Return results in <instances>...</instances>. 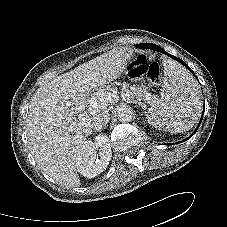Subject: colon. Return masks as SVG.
<instances>
[{"label": "colon", "instance_id": "5ec220e1", "mask_svg": "<svg viewBox=\"0 0 227 227\" xmlns=\"http://www.w3.org/2000/svg\"><path fill=\"white\" fill-rule=\"evenodd\" d=\"M128 75L133 79H147L152 85L160 83V67L157 63H148L144 55H138L128 65Z\"/></svg>", "mask_w": 227, "mask_h": 227}]
</instances>
